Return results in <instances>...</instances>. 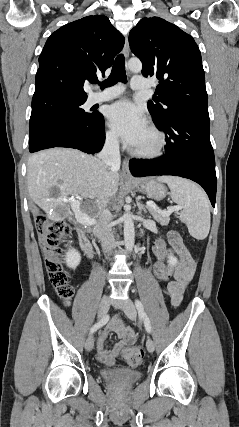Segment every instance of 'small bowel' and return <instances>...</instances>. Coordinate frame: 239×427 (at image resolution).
Masks as SVG:
<instances>
[{
	"label": "small bowel",
	"instance_id": "obj_1",
	"mask_svg": "<svg viewBox=\"0 0 239 427\" xmlns=\"http://www.w3.org/2000/svg\"><path fill=\"white\" fill-rule=\"evenodd\" d=\"M168 252L170 255L175 254L178 257V262L175 267L168 266L170 275L163 291L170 297L171 306L175 308L181 303L186 287L194 276L196 261L176 232L169 233ZM111 333L118 336L119 342L115 344L112 350H107L105 340ZM135 340V332L127 327L119 317L113 318L98 339V360L108 367L113 366L119 352L126 346L134 344Z\"/></svg>",
	"mask_w": 239,
	"mask_h": 427
}]
</instances>
